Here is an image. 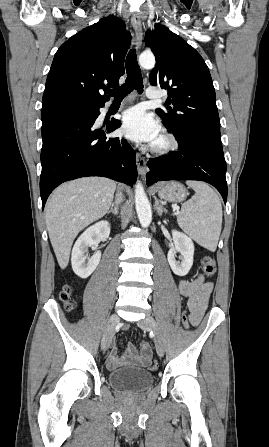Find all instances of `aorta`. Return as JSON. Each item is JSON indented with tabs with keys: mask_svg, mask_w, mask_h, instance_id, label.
I'll return each instance as SVG.
<instances>
[{
	"mask_svg": "<svg viewBox=\"0 0 269 447\" xmlns=\"http://www.w3.org/2000/svg\"><path fill=\"white\" fill-rule=\"evenodd\" d=\"M139 64L145 70H152L155 66V56L151 52H143L139 56ZM135 206L139 222L142 227H148L152 222V212L144 188L140 182L135 186Z\"/></svg>",
	"mask_w": 269,
	"mask_h": 447,
	"instance_id": "1",
	"label": "aorta"
}]
</instances>
